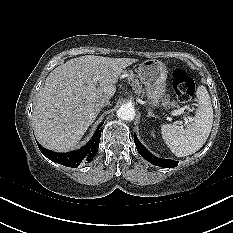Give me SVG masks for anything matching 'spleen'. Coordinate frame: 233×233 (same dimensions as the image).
<instances>
[{
  "label": "spleen",
  "mask_w": 233,
  "mask_h": 233,
  "mask_svg": "<svg viewBox=\"0 0 233 233\" xmlns=\"http://www.w3.org/2000/svg\"><path fill=\"white\" fill-rule=\"evenodd\" d=\"M198 109L193 122L185 127L176 123L161 125V134L167 146L177 157L191 155L205 144L213 124V108L204 86L196 92Z\"/></svg>",
  "instance_id": "spleen-1"
}]
</instances>
